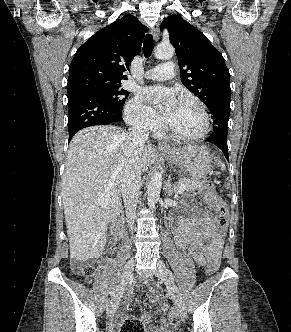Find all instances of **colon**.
Here are the masks:
<instances>
[{"instance_id":"obj_1","label":"colon","mask_w":291,"mask_h":332,"mask_svg":"<svg viewBox=\"0 0 291 332\" xmlns=\"http://www.w3.org/2000/svg\"><path fill=\"white\" fill-rule=\"evenodd\" d=\"M202 194L205 200L213 208L217 216V223L221 228H226L228 225V211L225 203L218 196L215 185L212 182H207ZM220 266L219 257H210L207 262L209 272H215ZM76 270L80 272L86 279H90L94 275V267L90 264L76 265ZM119 332H143V325L140 321L134 318H126L119 325Z\"/></svg>"}]
</instances>
